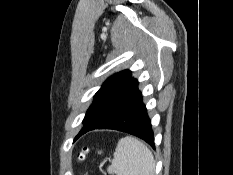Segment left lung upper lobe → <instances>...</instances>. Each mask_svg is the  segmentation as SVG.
Instances as JSON below:
<instances>
[{"label": "left lung upper lobe", "instance_id": "left-lung-upper-lobe-1", "mask_svg": "<svg viewBox=\"0 0 233 175\" xmlns=\"http://www.w3.org/2000/svg\"><path fill=\"white\" fill-rule=\"evenodd\" d=\"M136 82L137 80L131 77V72L129 70L121 71L108 78L95 94L94 101L87 110L83 120L84 126L79 133L102 117Z\"/></svg>", "mask_w": 233, "mask_h": 175}]
</instances>
